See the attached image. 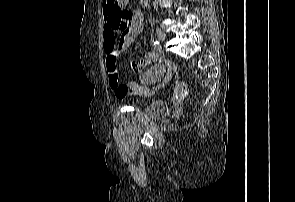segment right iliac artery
Returning a JSON list of instances; mask_svg holds the SVG:
<instances>
[{
    "mask_svg": "<svg viewBox=\"0 0 295 202\" xmlns=\"http://www.w3.org/2000/svg\"><path fill=\"white\" fill-rule=\"evenodd\" d=\"M153 46H154L155 49H160V44H159L158 41H155V42L153 43Z\"/></svg>",
    "mask_w": 295,
    "mask_h": 202,
    "instance_id": "82829eb1",
    "label": "right iliac artery"
}]
</instances>
